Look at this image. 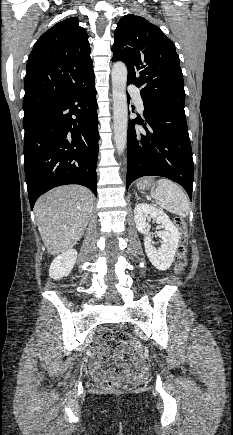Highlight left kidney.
<instances>
[{"label": "left kidney", "instance_id": "1", "mask_svg": "<svg viewBox=\"0 0 233 435\" xmlns=\"http://www.w3.org/2000/svg\"><path fill=\"white\" fill-rule=\"evenodd\" d=\"M151 218L163 227V230L156 232V236L161 238V245L158 249L153 246L152 234L149 232V224L146 221ZM134 220L137 230L145 235L144 246L150 262L159 270H167L173 262L178 246L179 230L166 213L146 203L136 205Z\"/></svg>", "mask_w": 233, "mask_h": 435}]
</instances>
